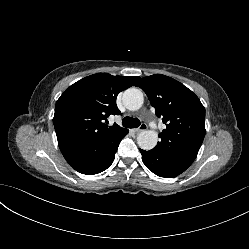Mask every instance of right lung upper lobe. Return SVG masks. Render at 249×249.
I'll return each mask as SVG.
<instances>
[{"instance_id":"right-lung-upper-lobe-1","label":"right lung upper lobe","mask_w":249,"mask_h":249,"mask_svg":"<svg viewBox=\"0 0 249 249\" xmlns=\"http://www.w3.org/2000/svg\"><path fill=\"white\" fill-rule=\"evenodd\" d=\"M139 79L97 73L67 88L56 103L53 118L58 144L95 142L125 131L117 124L108 127L104 121L111 114H120L117 95Z\"/></svg>"}]
</instances>
